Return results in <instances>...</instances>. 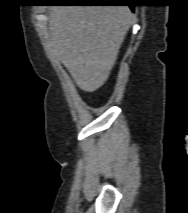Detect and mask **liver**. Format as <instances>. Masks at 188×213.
<instances>
[{
    "instance_id": "obj_1",
    "label": "liver",
    "mask_w": 188,
    "mask_h": 213,
    "mask_svg": "<svg viewBox=\"0 0 188 213\" xmlns=\"http://www.w3.org/2000/svg\"><path fill=\"white\" fill-rule=\"evenodd\" d=\"M134 21L127 6H56L50 43L76 85L94 92L107 81Z\"/></svg>"
}]
</instances>
